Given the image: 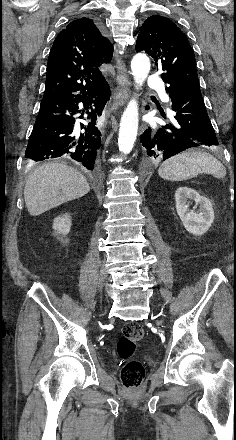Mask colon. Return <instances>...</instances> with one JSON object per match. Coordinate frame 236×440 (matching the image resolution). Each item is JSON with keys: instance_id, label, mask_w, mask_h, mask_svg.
<instances>
[{"instance_id": "obj_1", "label": "colon", "mask_w": 236, "mask_h": 440, "mask_svg": "<svg viewBox=\"0 0 236 440\" xmlns=\"http://www.w3.org/2000/svg\"><path fill=\"white\" fill-rule=\"evenodd\" d=\"M143 336L144 330L140 324L128 322L123 326L117 343L119 357L126 360L121 370V381L128 390L137 389L145 378V369L141 362L131 359L137 343Z\"/></svg>"}]
</instances>
